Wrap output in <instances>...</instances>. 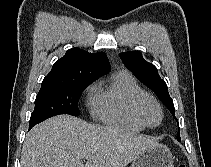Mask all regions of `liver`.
I'll return each mask as SVG.
<instances>
[{
  "instance_id": "obj_1",
  "label": "liver",
  "mask_w": 211,
  "mask_h": 167,
  "mask_svg": "<svg viewBox=\"0 0 211 167\" xmlns=\"http://www.w3.org/2000/svg\"><path fill=\"white\" fill-rule=\"evenodd\" d=\"M156 144L151 137L122 128L59 115L27 133L21 167H126Z\"/></svg>"
}]
</instances>
